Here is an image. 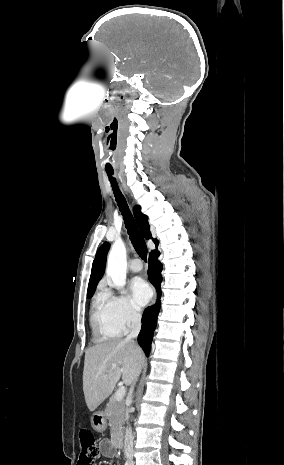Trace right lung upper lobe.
<instances>
[{
	"label": "right lung upper lobe",
	"instance_id": "cb5924a9",
	"mask_svg": "<svg viewBox=\"0 0 284 465\" xmlns=\"http://www.w3.org/2000/svg\"><path fill=\"white\" fill-rule=\"evenodd\" d=\"M133 212H134L136 222L143 236L146 239L152 238L151 233H150V226L148 224V217L141 212L140 206L138 205L135 206L133 209ZM153 240L157 246L158 241L155 239ZM109 247H110V244L108 242H104L96 253V256H95V259L92 265V271H91V276L89 280L87 295H93L99 280L103 276Z\"/></svg>",
	"mask_w": 284,
	"mask_h": 465
}]
</instances>
